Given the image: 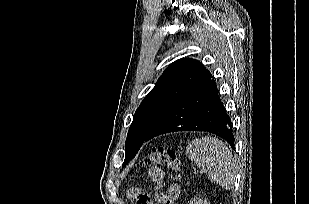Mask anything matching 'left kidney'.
<instances>
[{"instance_id":"left-kidney-1","label":"left kidney","mask_w":309,"mask_h":204,"mask_svg":"<svg viewBox=\"0 0 309 204\" xmlns=\"http://www.w3.org/2000/svg\"><path fill=\"white\" fill-rule=\"evenodd\" d=\"M190 204H210L206 199H199V198H194Z\"/></svg>"}]
</instances>
